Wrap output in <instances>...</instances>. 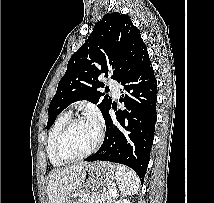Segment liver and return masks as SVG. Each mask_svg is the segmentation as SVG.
<instances>
[{"mask_svg":"<svg viewBox=\"0 0 214 203\" xmlns=\"http://www.w3.org/2000/svg\"><path fill=\"white\" fill-rule=\"evenodd\" d=\"M86 162L73 164L63 169H55L48 176L47 195L49 203H67L77 190L82 179Z\"/></svg>","mask_w":214,"mask_h":203,"instance_id":"obj_1","label":"liver"}]
</instances>
